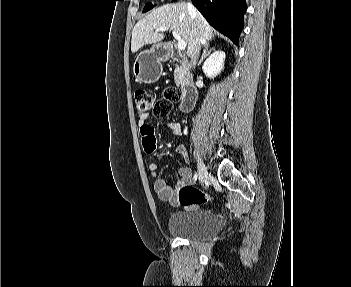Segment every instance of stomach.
<instances>
[{
  "label": "stomach",
  "instance_id": "obj_1",
  "mask_svg": "<svg viewBox=\"0 0 351 287\" xmlns=\"http://www.w3.org/2000/svg\"><path fill=\"white\" fill-rule=\"evenodd\" d=\"M166 57L167 53L161 45H154L149 50L140 52L133 65L136 79L146 84L157 82L163 71L162 60Z\"/></svg>",
  "mask_w": 351,
  "mask_h": 287
}]
</instances>
